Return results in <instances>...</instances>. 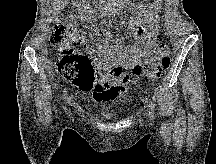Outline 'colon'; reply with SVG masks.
<instances>
[{
  "label": "colon",
  "instance_id": "obj_1",
  "mask_svg": "<svg viewBox=\"0 0 216 164\" xmlns=\"http://www.w3.org/2000/svg\"><path fill=\"white\" fill-rule=\"evenodd\" d=\"M78 30L76 21L67 19L66 22L57 21L54 25L52 42L58 48V71L66 80L85 91H92L100 85V71L108 67L98 60H91L88 56L75 51ZM170 58H157L149 67L141 66L134 70L135 84L139 85L144 79L159 77L169 66Z\"/></svg>",
  "mask_w": 216,
  "mask_h": 164
}]
</instances>
